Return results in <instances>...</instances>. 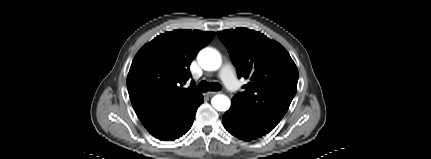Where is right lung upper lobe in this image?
Masks as SVG:
<instances>
[{
    "instance_id": "obj_1",
    "label": "right lung upper lobe",
    "mask_w": 431,
    "mask_h": 159,
    "mask_svg": "<svg viewBox=\"0 0 431 159\" xmlns=\"http://www.w3.org/2000/svg\"><path fill=\"white\" fill-rule=\"evenodd\" d=\"M214 32L174 30L154 38L133 59L127 88L133 108L142 124L154 136L167 131L200 94L184 85L198 51Z\"/></svg>"
}]
</instances>
